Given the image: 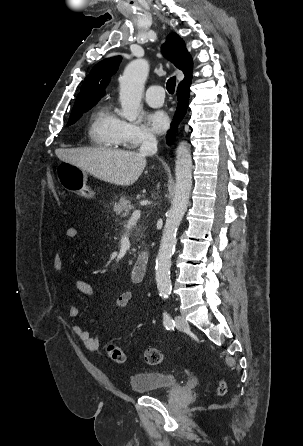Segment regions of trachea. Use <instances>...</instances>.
<instances>
[{
    "label": "trachea",
    "mask_w": 303,
    "mask_h": 446,
    "mask_svg": "<svg viewBox=\"0 0 303 446\" xmlns=\"http://www.w3.org/2000/svg\"><path fill=\"white\" fill-rule=\"evenodd\" d=\"M175 85H176V78L171 77L166 83V89L170 94L174 93Z\"/></svg>",
    "instance_id": "trachea-1"
}]
</instances>
